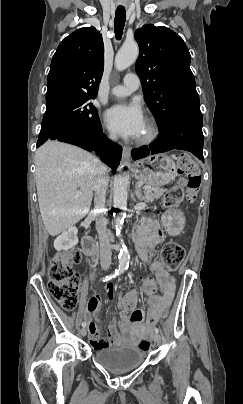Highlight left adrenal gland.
Wrapping results in <instances>:
<instances>
[{
    "instance_id": "left-adrenal-gland-1",
    "label": "left adrenal gland",
    "mask_w": 243,
    "mask_h": 404,
    "mask_svg": "<svg viewBox=\"0 0 243 404\" xmlns=\"http://www.w3.org/2000/svg\"><path fill=\"white\" fill-rule=\"evenodd\" d=\"M134 194H135L136 198H138V200H140V202H142V200H144L143 192H142L140 186H137V184H135Z\"/></svg>"
}]
</instances>
